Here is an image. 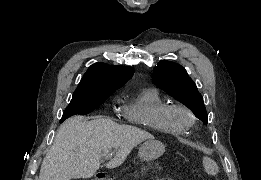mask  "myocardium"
<instances>
[{
	"label": "myocardium",
	"instance_id": "obj_1",
	"mask_svg": "<svg viewBox=\"0 0 261 180\" xmlns=\"http://www.w3.org/2000/svg\"><path fill=\"white\" fill-rule=\"evenodd\" d=\"M163 118L171 128L185 129L194 122L192 110L182 103L170 104L165 108Z\"/></svg>",
	"mask_w": 261,
	"mask_h": 180
}]
</instances>
